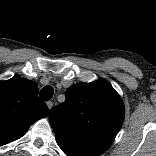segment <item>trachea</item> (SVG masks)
I'll use <instances>...</instances> for the list:
<instances>
[{
    "mask_svg": "<svg viewBox=\"0 0 156 156\" xmlns=\"http://www.w3.org/2000/svg\"><path fill=\"white\" fill-rule=\"evenodd\" d=\"M53 93V88L47 86L40 91L39 95L43 100H49L53 96Z\"/></svg>",
    "mask_w": 156,
    "mask_h": 156,
    "instance_id": "trachea-1",
    "label": "trachea"
}]
</instances>
